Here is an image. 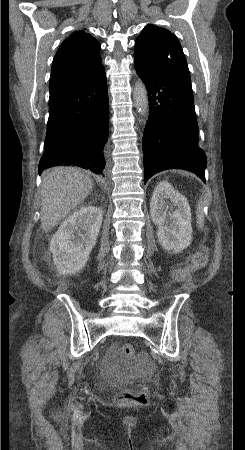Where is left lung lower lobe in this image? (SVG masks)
Instances as JSON below:
<instances>
[{
    "instance_id": "0a47b994",
    "label": "left lung lower lobe",
    "mask_w": 245,
    "mask_h": 450,
    "mask_svg": "<svg viewBox=\"0 0 245 450\" xmlns=\"http://www.w3.org/2000/svg\"><path fill=\"white\" fill-rule=\"evenodd\" d=\"M149 97V118L143 135L144 184L167 169L195 173L205 183L206 155L199 146L194 99L165 75L135 66Z\"/></svg>"
}]
</instances>
